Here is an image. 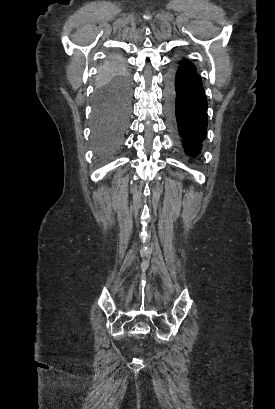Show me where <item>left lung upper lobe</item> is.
Masks as SVG:
<instances>
[{"label": "left lung upper lobe", "instance_id": "obj_1", "mask_svg": "<svg viewBox=\"0 0 275 409\" xmlns=\"http://www.w3.org/2000/svg\"><path fill=\"white\" fill-rule=\"evenodd\" d=\"M180 64L183 65V66H186L187 68H189V69H191V70H197V68L195 67V65H194L192 62H190V61H188V60H186V59H184L183 61H181Z\"/></svg>", "mask_w": 275, "mask_h": 409}]
</instances>
